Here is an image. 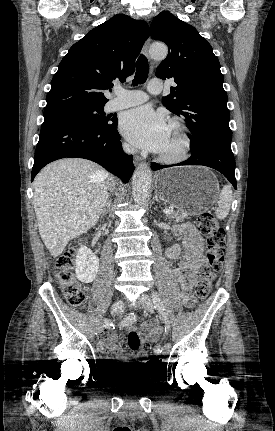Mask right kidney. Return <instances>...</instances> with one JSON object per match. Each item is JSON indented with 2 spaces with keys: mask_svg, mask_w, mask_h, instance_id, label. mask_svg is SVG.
<instances>
[{
  "mask_svg": "<svg viewBox=\"0 0 275 431\" xmlns=\"http://www.w3.org/2000/svg\"><path fill=\"white\" fill-rule=\"evenodd\" d=\"M99 268V258L86 246L81 245L75 260L76 277L82 283L92 282Z\"/></svg>",
  "mask_w": 275,
  "mask_h": 431,
  "instance_id": "1",
  "label": "right kidney"
}]
</instances>
